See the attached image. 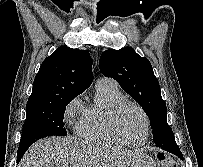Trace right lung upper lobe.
Wrapping results in <instances>:
<instances>
[{"mask_svg":"<svg viewBox=\"0 0 203 167\" xmlns=\"http://www.w3.org/2000/svg\"><path fill=\"white\" fill-rule=\"evenodd\" d=\"M92 59L87 50L59 47L41 64L27 104L76 97L91 85Z\"/></svg>","mask_w":203,"mask_h":167,"instance_id":"cb5924a9","label":"right lung upper lobe"}]
</instances>
